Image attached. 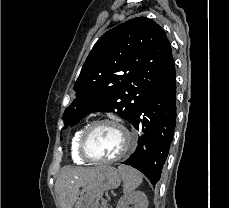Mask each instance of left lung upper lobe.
<instances>
[{
  "instance_id": "obj_1",
  "label": "left lung upper lobe",
  "mask_w": 229,
  "mask_h": 208,
  "mask_svg": "<svg viewBox=\"0 0 229 208\" xmlns=\"http://www.w3.org/2000/svg\"><path fill=\"white\" fill-rule=\"evenodd\" d=\"M176 77L169 40L155 21L136 17L105 32L74 84L76 99L65 109L66 129L92 112L133 120L149 94Z\"/></svg>"
}]
</instances>
